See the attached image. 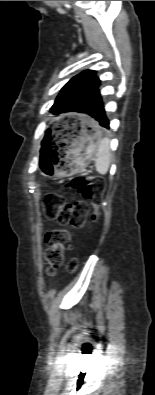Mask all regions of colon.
Instances as JSON below:
<instances>
[{"label": "colon", "instance_id": "obj_1", "mask_svg": "<svg viewBox=\"0 0 155 395\" xmlns=\"http://www.w3.org/2000/svg\"><path fill=\"white\" fill-rule=\"evenodd\" d=\"M84 200L66 203L64 198L55 192L47 193L42 199L44 216L49 220H56L64 228L53 229L45 236L47 249L44 257L48 264L47 271L50 275L62 265L64 253L71 246V232L68 228L79 229L85 224L89 205L97 206L104 190L105 181L99 176L80 175L69 183ZM95 218V216H93ZM77 263L73 260L70 269L74 271Z\"/></svg>", "mask_w": 155, "mask_h": 395}]
</instances>
